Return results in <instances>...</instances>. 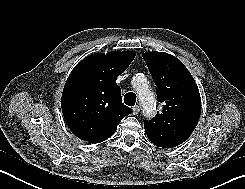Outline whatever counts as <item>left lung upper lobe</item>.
Returning <instances> with one entry per match:
<instances>
[{
  "label": "left lung upper lobe",
  "mask_w": 245,
  "mask_h": 189,
  "mask_svg": "<svg viewBox=\"0 0 245 189\" xmlns=\"http://www.w3.org/2000/svg\"><path fill=\"white\" fill-rule=\"evenodd\" d=\"M143 58L157 86L161 112L144 122L149 140L156 146L172 148L186 141L194 131L201 112L198 87L184 64L164 52H146Z\"/></svg>",
  "instance_id": "1"
}]
</instances>
